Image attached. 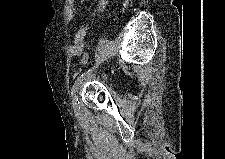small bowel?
I'll return each mask as SVG.
<instances>
[{
  "mask_svg": "<svg viewBox=\"0 0 225 159\" xmlns=\"http://www.w3.org/2000/svg\"><path fill=\"white\" fill-rule=\"evenodd\" d=\"M108 4H109L108 0H101L98 5V10L104 11L108 6ZM68 7L70 16L72 17L74 15V4L72 1L68 2ZM86 30L87 26L84 25L75 33L72 45L70 46L69 50L71 56L76 57L82 54L85 46Z\"/></svg>",
  "mask_w": 225,
  "mask_h": 159,
  "instance_id": "1",
  "label": "small bowel"
}]
</instances>
